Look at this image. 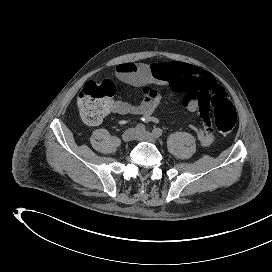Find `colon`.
I'll return each mask as SVG.
<instances>
[{"instance_id":"1","label":"colon","mask_w":272,"mask_h":272,"mask_svg":"<svg viewBox=\"0 0 272 272\" xmlns=\"http://www.w3.org/2000/svg\"><path fill=\"white\" fill-rule=\"evenodd\" d=\"M114 94L115 84L110 79L87 82L77 98V106L82 120L89 125L98 124L109 114ZM209 108L213 110L218 131L222 134L230 133L237 123V114L223 91L213 94L209 100Z\"/></svg>"}]
</instances>
